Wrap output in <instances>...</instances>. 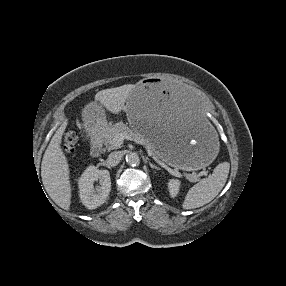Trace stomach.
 Segmentation results:
<instances>
[{"label": "stomach", "mask_w": 286, "mask_h": 286, "mask_svg": "<svg viewBox=\"0 0 286 286\" xmlns=\"http://www.w3.org/2000/svg\"><path fill=\"white\" fill-rule=\"evenodd\" d=\"M126 114L130 127L172 167L199 170L216 157L219 140L207 118L206 102L189 89L145 78L129 94ZM82 120L93 133L108 126L111 113L103 103L93 102L83 110Z\"/></svg>", "instance_id": "stomach-1"}]
</instances>
